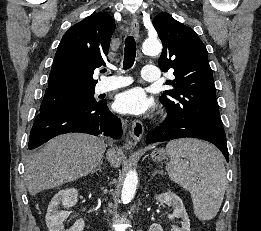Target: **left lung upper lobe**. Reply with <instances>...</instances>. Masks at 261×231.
Listing matches in <instances>:
<instances>
[{"mask_svg":"<svg viewBox=\"0 0 261 231\" xmlns=\"http://www.w3.org/2000/svg\"><path fill=\"white\" fill-rule=\"evenodd\" d=\"M153 25L163 43L159 67L162 71L173 69L175 75L174 80L167 81L174 89L160 97L168 114L226 139L205 45L193 29L166 12L158 14Z\"/></svg>","mask_w":261,"mask_h":231,"instance_id":"left-lung-upper-lobe-1","label":"left lung upper lobe"}]
</instances>
